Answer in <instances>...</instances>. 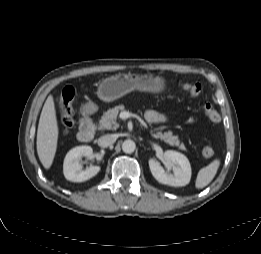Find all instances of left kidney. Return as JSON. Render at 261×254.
Masks as SVG:
<instances>
[{
	"mask_svg": "<svg viewBox=\"0 0 261 254\" xmlns=\"http://www.w3.org/2000/svg\"><path fill=\"white\" fill-rule=\"evenodd\" d=\"M164 159L172 165L173 174L166 173L163 167L154 159H149V168L153 177L162 184L179 187L185 186L191 179V166L188 158L176 151L167 150Z\"/></svg>",
	"mask_w": 261,
	"mask_h": 254,
	"instance_id": "obj_1",
	"label": "left kidney"
}]
</instances>
